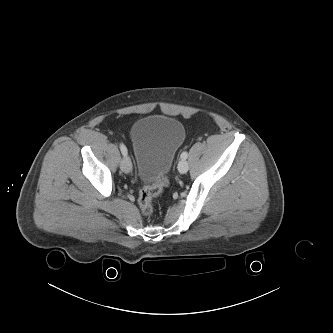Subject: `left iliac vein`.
I'll return each mask as SVG.
<instances>
[{"mask_svg":"<svg viewBox=\"0 0 333 333\" xmlns=\"http://www.w3.org/2000/svg\"><path fill=\"white\" fill-rule=\"evenodd\" d=\"M189 169L188 162L186 160H181L178 164V171L181 174H185Z\"/></svg>","mask_w":333,"mask_h":333,"instance_id":"1","label":"left iliac vein"}]
</instances>
